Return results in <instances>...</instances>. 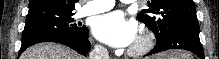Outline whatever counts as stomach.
<instances>
[{"mask_svg":"<svg viewBox=\"0 0 219 59\" xmlns=\"http://www.w3.org/2000/svg\"><path fill=\"white\" fill-rule=\"evenodd\" d=\"M173 56H174L173 53L172 54H163V55H160L159 58L162 57V58H169V59H171L170 57H173Z\"/></svg>","mask_w":219,"mask_h":59,"instance_id":"obj_1","label":"stomach"}]
</instances>
